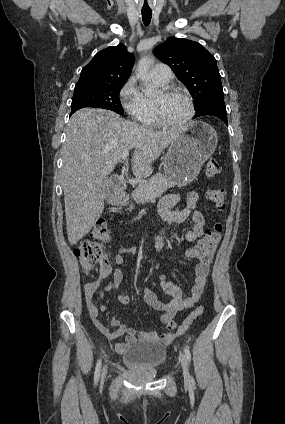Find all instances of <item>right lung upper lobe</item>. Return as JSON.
<instances>
[{"instance_id":"cb5924a9","label":"right lung upper lobe","mask_w":285,"mask_h":424,"mask_svg":"<svg viewBox=\"0 0 285 424\" xmlns=\"http://www.w3.org/2000/svg\"><path fill=\"white\" fill-rule=\"evenodd\" d=\"M134 64V55L119 44L98 52L82 71L76 86L126 82Z\"/></svg>"}]
</instances>
